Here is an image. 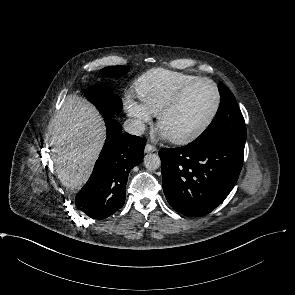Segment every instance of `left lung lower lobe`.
I'll use <instances>...</instances> for the list:
<instances>
[{"mask_svg": "<svg viewBox=\"0 0 295 295\" xmlns=\"http://www.w3.org/2000/svg\"><path fill=\"white\" fill-rule=\"evenodd\" d=\"M163 191L174 210L189 217L210 213L233 189L244 148L224 141L159 151Z\"/></svg>", "mask_w": 295, "mask_h": 295, "instance_id": "0a47b994", "label": "left lung lower lobe"}]
</instances>
